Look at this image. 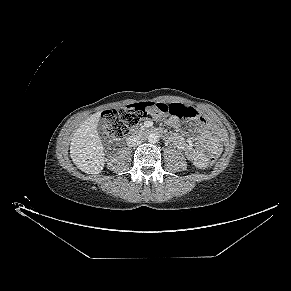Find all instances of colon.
Here are the masks:
<instances>
[{
    "label": "colon",
    "instance_id": "obj_1",
    "mask_svg": "<svg viewBox=\"0 0 291 291\" xmlns=\"http://www.w3.org/2000/svg\"><path fill=\"white\" fill-rule=\"evenodd\" d=\"M160 116L196 118L198 112L194 108L180 103H139L103 112L102 129L106 135L114 139H121L135 128L141 120ZM217 160L218 154L212 153L208 158V164L214 165Z\"/></svg>",
    "mask_w": 291,
    "mask_h": 291
}]
</instances>
